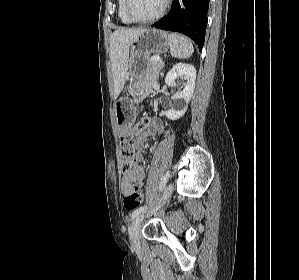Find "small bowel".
<instances>
[{"mask_svg":"<svg viewBox=\"0 0 299 280\" xmlns=\"http://www.w3.org/2000/svg\"><path fill=\"white\" fill-rule=\"evenodd\" d=\"M145 129L146 132L142 133V136H138V141L136 144L134 154V167L130 170L123 171V177L120 186L125 196L129 195L132 192L135 184L139 185L140 187L143 186L145 172L143 168L140 166V163L143 160L142 149L144 142L151 137H155L159 134H162L164 132V125L159 119L152 118L148 121V124L145 127ZM129 131L131 130L128 128H124L122 130V134L124 136L129 135ZM152 149L156 150L157 144H154Z\"/></svg>","mask_w":299,"mask_h":280,"instance_id":"obj_1","label":"small bowel"}]
</instances>
